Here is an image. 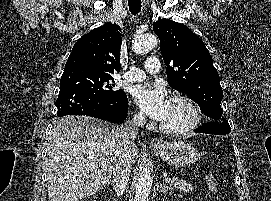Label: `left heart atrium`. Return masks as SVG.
I'll return each instance as SVG.
<instances>
[{"mask_svg":"<svg viewBox=\"0 0 271 201\" xmlns=\"http://www.w3.org/2000/svg\"><path fill=\"white\" fill-rule=\"evenodd\" d=\"M132 96L140 109L151 118L162 121L169 108V100L160 85L142 83L135 86Z\"/></svg>","mask_w":271,"mask_h":201,"instance_id":"1","label":"left heart atrium"}]
</instances>
